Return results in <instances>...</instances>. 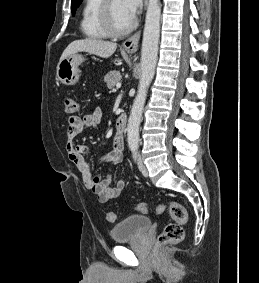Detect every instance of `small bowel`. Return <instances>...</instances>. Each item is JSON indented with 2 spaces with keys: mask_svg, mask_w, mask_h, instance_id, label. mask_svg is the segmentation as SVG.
Returning <instances> with one entry per match:
<instances>
[{
  "mask_svg": "<svg viewBox=\"0 0 259 283\" xmlns=\"http://www.w3.org/2000/svg\"><path fill=\"white\" fill-rule=\"evenodd\" d=\"M102 111L95 107L82 117L70 116L68 118V141L65 149L69 160L78 168L85 187L92 191L98 198L99 202L105 203L111 199L118 198L126 188V181L118 180L114 186H111L109 177L101 178L94 173L84 156L91 151L84 144H74L73 140L84 128H95L101 121ZM124 141L120 136L113 139V145L109 152L103 157V162L108 164H118L123 160Z\"/></svg>",
  "mask_w": 259,
  "mask_h": 283,
  "instance_id": "small-bowel-1",
  "label": "small bowel"
}]
</instances>
